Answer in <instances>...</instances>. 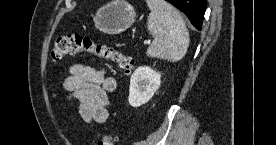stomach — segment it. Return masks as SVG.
Listing matches in <instances>:
<instances>
[{
  "label": "stomach",
  "mask_w": 276,
  "mask_h": 145,
  "mask_svg": "<svg viewBox=\"0 0 276 145\" xmlns=\"http://www.w3.org/2000/svg\"><path fill=\"white\" fill-rule=\"evenodd\" d=\"M135 18L133 6L124 0H115L98 9L94 23L104 33L119 34L127 30L135 22Z\"/></svg>",
  "instance_id": "1"
}]
</instances>
